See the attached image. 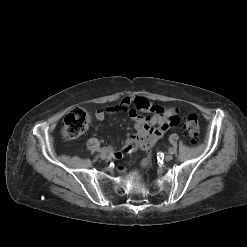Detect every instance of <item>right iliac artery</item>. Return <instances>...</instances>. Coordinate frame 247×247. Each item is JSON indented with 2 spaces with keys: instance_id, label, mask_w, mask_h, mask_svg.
<instances>
[{
  "instance_id": "obj_1",
  "label": "right iliac artery",
  "mask_w": 247,
  "mask_h": 247,
  "mask_svg": "<svg viewBox=\"0 0 247 247\" xmlns=\"http://www.w3.org/2000/svg\"><path fill=\"white\" fill-rule=\"evenodd\" d=\"M111 149H112L111 146H109V147H102L99 151L101 153H106V152L110 151Z\"/></svg>"
}]
</instances>
